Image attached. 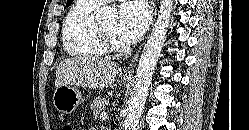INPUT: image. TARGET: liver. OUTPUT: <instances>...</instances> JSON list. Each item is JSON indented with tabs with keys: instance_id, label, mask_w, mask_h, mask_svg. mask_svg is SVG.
Returning <instances> with one entry per match:
<instances>
[{
	"instance_id": "liver-1",
	"label": "liver",
	"mask_w": 249,
	"mask_h": 130,
	"mask_svg": "<svg viewBox=\"0 0 249 130\" xmlns=\"http://www.w3.org/2000/svg\"><path fill=\"white\" fill-rule=\"evenodd\" d=\"M119 71V65L108 59L92 56L65 59L56 68L55 88L63 85L108 88Z\"/></svg>"
}]
</instances>
